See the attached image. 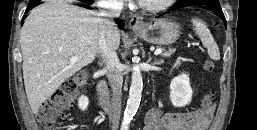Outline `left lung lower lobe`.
<instances>
[{
  "label": "left lung lower lobe",
  "mask_w": 257,
  "mask_h": 130,
  "mask_svg": "<svg viewBox=\"0 0 257 130\" xmlns=\"http://www.w3.org/2000/svg\"><path fill=\"white\" fill-rule=\"evenodd\" d=\"M197 3L204 5L205 9L214 12L226 24V19H225V16H224L223 12H222V9L220 7V4H219L218 0H199ZM181 7H183V5H175L174 4L168 11H173V10H176L178 8H181ZM165 13H163V14H165Z\"/></svg>",
  "instance_id": "0a47b994"
}]
</instances>
